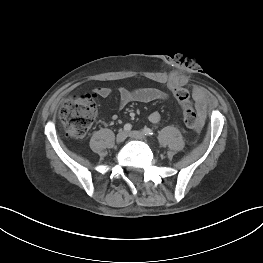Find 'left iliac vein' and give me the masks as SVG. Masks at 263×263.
I'll use <instances>...</instances> for the list:
<instances>
[{"mask_svg":"<svg viewBox=\"0 0 263 263\" xmlns=\"http://www.w3.org/2000/svg\"><path fill=\"white\" fill-rule=\"evenodd\" d=\"M128 136L136 140L145 141V142L147 141L145 134L140 131H131L128 133Z\"/></svg>","mask_w":263,"mask_h":263,"instance_id":"1","label":"left iliac vein"}]
</instances>
